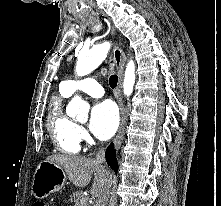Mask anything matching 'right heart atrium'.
Segmentation results:
<instances>
[{"label":"right heart atrium","instance_id":"d8ad5b80","mask_svg":"<svg viewBox=\"0 0 221 206\" xmlns=\"http://www.w3.org/2000/svg\"><path fill=\"white\" fill-rule=\"evenodd\" d=\"M79 138H80V141H83L85 143H90V137L88 133L86 132V130L82 127H79Z\"/></svg>","mask_w":221,"mask_h":206}]
</instances>
